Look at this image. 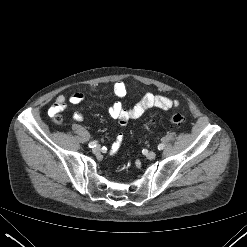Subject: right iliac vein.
Returning a JSON list of instances; mask_svg holds the SVG:
<instances>
[{
    "mask_svg": "<svg viewBox=\"0 0 247 247\" xmlns=\"http://www.w3.org/2000/svg\"><path fill=\"white\" fill-rule=\"evenodd\" d=\"M93 153L98 154L101 151L100 146H96L92 149Z\"/></svg>",
    "mask_w": 247,
    "mask_h": 247,
    "instance_id": "1",
    "label": "right iliac vein"
}]
</instances>
